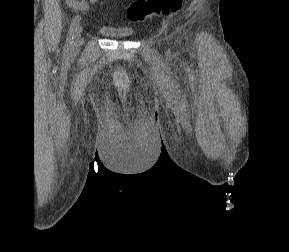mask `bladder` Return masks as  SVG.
Wrapping results in <instances>:
<instances>
[{"label": "bladder", "instance_id": "bladder-1", "mask_svg": "<svg viewBox=\"0 0 289 252\" xmlns=\"http://www.w3.org/2000/svg\"><path fill=\"white\" fill-rule=\"evenodd\" d=\"M100 33L110 38H129L133 35V30L130 28H116L111 26H103L100 28Z\"/></svg>", "mask_w": 289, "mask_h": 252}]
</instances>
